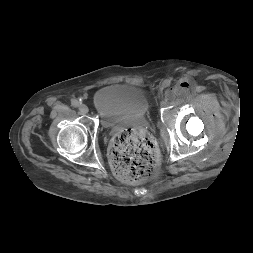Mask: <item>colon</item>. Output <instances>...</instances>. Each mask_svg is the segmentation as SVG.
I'll list each match as a JSON object with an SVG mask.
<instances>
[{
    "label": "colon",
    "instance_id": "obj_1",
    "mask_svg": "<svg viewBox=\"0 0 253 253\" xmlns=\"http://www.w3.org/2000/svg\"><path fill=\"white\" fill-rule=\"evenodd\" d=\"M110 159L117 178L127 183H138L151 177L158 164L155 144L143 129L120 131L112 140Z\"/></svg>",
    "mask_w": 253,
    "mask_h": 253
}]
</instances>
